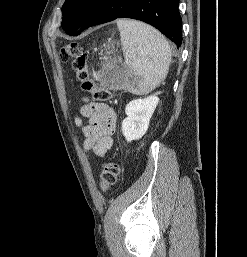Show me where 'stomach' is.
Segmentation results:
<instances>
[{
  "mask_svg": "<svg viewBox=\"0 0 247 257\" xmlns=\"http://www.w3.org/2000/svg\"><path fill=\"white\" fill-rule=\"evenodd\" d=\"M133 81L134 78L130 74L129 69L126 67H122L120 71V76L116 79V83L119 85V87L129 89L131 88Z\"/></svg>",
  "mask_w": 247,
  "mask_h": 257,
  "instance_id": "stomach-1",
  "label": "stomach"
}]
</instances>
